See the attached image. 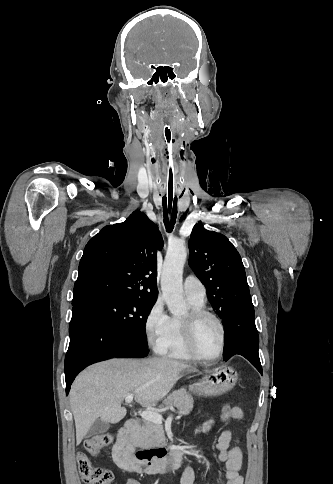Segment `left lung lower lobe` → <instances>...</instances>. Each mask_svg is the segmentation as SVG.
Instances as JSON below:
<instances>
[{"instance_id":"left-lung-lower-lobe-1","label":"left lung lower lobe","mask_w":333,"mask_h":484,"mask_svg":"<svg viewBox=\"0 0 333 484\" xmlns=\"http://www.w3.org/2000/svg\"><path fill=\"white\" fill-rule=\"evenodd\" d=\"M224 331L226 342L224 360L239 354L261 372L262 367L258 354L259 337L251 298L242 300L231 309L224 320Z\"/></svg>"}]
</instances>
